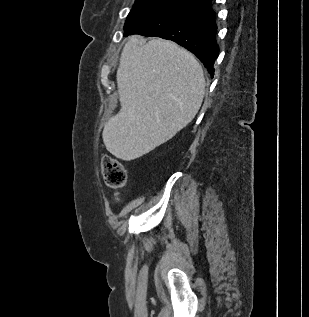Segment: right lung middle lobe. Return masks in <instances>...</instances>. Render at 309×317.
I'll list each match as a JSON object with an SVG mask.
<instances>
[{
    "mask_svg": "<svg viewBox=\"0 0 309 317\" xmlns=\"http://www.w3.org/2000/svg\"><path fill=\"white\" fill-rule=\"evenodd\" d=\"M176 1L178 0H136L127 17L124 30H128L141 17Z\"/></svg>",
    "mask_w": 309,
    "mask_h": 317,
    "instance_id": "dd1d6c3e",
    "label": "right lung middle lobe"
}]
</instances>
